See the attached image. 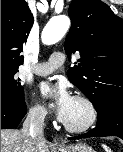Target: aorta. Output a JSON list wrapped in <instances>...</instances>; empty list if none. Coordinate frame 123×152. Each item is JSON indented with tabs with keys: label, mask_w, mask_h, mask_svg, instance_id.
Wrapping results in <instances>:
<instances>
[{
	"label": "aorta",
	"mask_w": 123,
	"mask_h": 152,
	"mask_svg": "<svg viewBox=\"0 0 123 152\" xmlns=\"http://www.w3.org/2000/svg\"><path fill=\"white\" fill-rule=\"evenodd\" d=\"M70 27V20L67 16H57L52 18L42 31V42L52 45L63 38Z\"/></svg>",
	"instance_id": "762f6f07"
}]
</instances>
